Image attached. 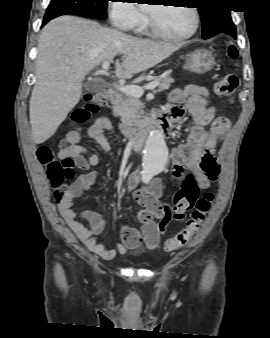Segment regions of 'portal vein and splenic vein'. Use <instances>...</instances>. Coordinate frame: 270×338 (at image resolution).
<instances>
[{
    "mask_svg": "<svg viewBox=\"0 0 270 338\" xmlns=\"http://www.w3.org/2000/svg\"><path fill=\"white\" fill-rule=\"evenodd\" d=\"M110 62H111V60L104 61V63H103V73L104 74H107ZM158 85H159V81L154 80V81L146 84L143 87H140V86H137V85H127V86L115 85V86L118 90H120L123 93H126L128 95L140 98L143 95L145 89L151 90V89L156 88Z\"/></svg>",
    "mask_w": 270,
    "mask_h": 338,
    "instance_id": "1",
    "label": "portal vein and splenic vein"
}]
</instances>
